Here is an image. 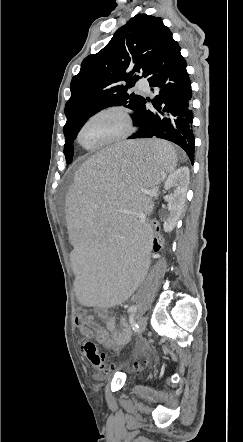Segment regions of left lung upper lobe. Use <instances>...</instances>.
<instances>
[{
	"mask_svg": "<svg viewBox=\"0 0 243 442\" xmlns=\"http://www.w3.org/2000/svg\"><path fill=\"white\" fill-rule=\"evenodd\" d=\"M170 33L160 17L137 14L116 31L102 50L83 60L80 72L72 78V95L65 105L67 163L72 162L78 132L92 115L119 105L137 114L145 99L127 91L140 78L135 73L145 77Z\"/></svg>",
	"mask_w": 243,
	"mask_h": 442,
	"instance_id": "1",
	"label": "left lung upper lobe"
}]
</instances>
